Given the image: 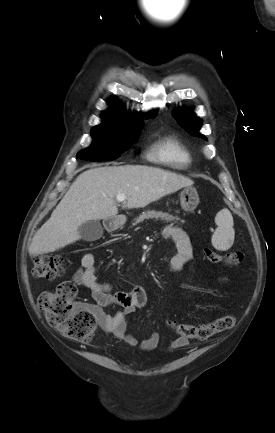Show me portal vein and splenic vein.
<instances>
[{
	"instance_id": "obj_1",
	"label": "portal vein and splenic vein",
	"mask_w": 275,
	"mask_h": 433,
	"mask_svg": "<svg viewBox=\"0 0 275 433\" xmlns=\"http://www.w3.org/2000/svg\"><path fill=\"white\" fill-rule=\"evenodd\" d=\"M126 196L124 195V194H118L117 196H116V200H117V202H123V201H125L126 200Z\"/></svg>"
}]
</instances>
